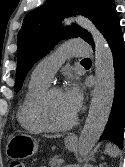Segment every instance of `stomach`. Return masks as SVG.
<instances>
[{
    "label": "stomach",
    "mask_w": 125,
    "mask_h": 167,
    "mask_svg": "<svg viewBox=\"0 0 125 167\" xmlns=\"http://www.w3.org/2000/svg\"><path fill=\"white\" fill-rule=\"evenodd\" d=\"M75 142H66L68 150H74ZM38 143L36 139L25 133L11 134L7 139L6 154L11 159L28 158L36 154Z\"/></svg>",
    "instance_id": "0dacf381"
}]
</instances>
